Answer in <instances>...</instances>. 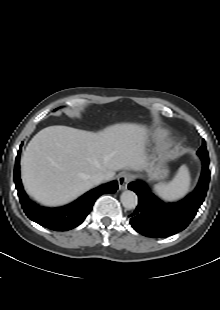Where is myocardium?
Instances as JSON below:
<instances>
[{"label":"myocardium","mask_w":220,"mask_h":310,"mask_svg":"<svg viewBox=\"0 0 220 310\" xmlns=\"http://www.w3.org/2000/svg\"><path fill=\"white\" fill-rule=\"evenodd\" d=\"M163 156H164V157L169 156V152H165V153L163 154Z\"/></svg>","instance_id":"1"}]
</instances>
